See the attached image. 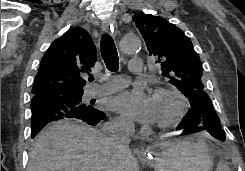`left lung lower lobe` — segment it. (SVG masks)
Returning <instances> with one entry per match:
<instances>
[{
  "label": "left lung lower lobe",
  "instance_id": "0a47b994",
  "mask_svg": "<svg viewBox=\"0 0 245 171\" xmlns=\"http://www.w3.org/2000/svg\"><path fill=\"white\" fill-rule=\"evenodd\" d=\"M187 98L191 109L176 128L182 131L181 135L207 129L213 137L220 141H225V132L221 128L220 119L213 108L209 96L204 91H195Z\"/></svg>",
  "mask_w": 245,
  "mask_h": 171
}]
</instances>
